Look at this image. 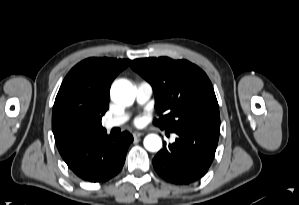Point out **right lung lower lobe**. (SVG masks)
Here are the masks:
<instances>
[{"label": "right lung lower lobe", "instance_id": "1", "mask_svg": "<svg viewBox=\"0 0 299 205\" xmlns=\"http://www.w3.org/2000/svg\"><path fill=\"white\" fill-rule=\"evenodd\" d=\"M133 137L123 132L119 137L106 131L83 142L66 160L68 167L81 179L106 182L122 169Z\"/></svg>", "mask_w": 299, "mask_h": 205}]
</instances>
